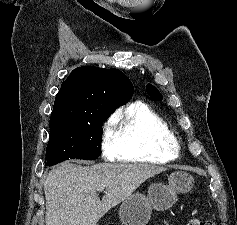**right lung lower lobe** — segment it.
Returning <instances> with one entry per match:
<instances>
[{
  "label": "right lung lower lobe",
  "instance_id": "right-lung-lower-lobe-1",
  "mask_svg": "<svg viewBox=\"0 0 237 225\" xmlns=\"http://www.w3.org/2000/svg\"><path fill=\"white\" fill-rule=\"evenodd\" d=\"M70 158H66V157H59V158H46V162H45V165L46 166H52V165H55L59 162H62V161H65V160H68Z\"/></svg>",
  "mask_w": 237,
  "mask_h": 225
}]
</instances>
